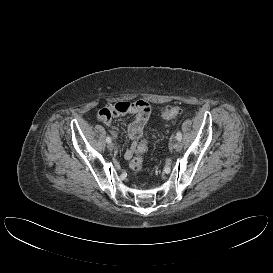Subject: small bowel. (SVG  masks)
<instances>
[{"label": "small bowel", "mask_w": 273, "mask_h": 273, "mask_svg": "<svg viewBox=\"0 0 273 273\" xmlns=\"http://www.w3.org/2000/svg\"><path fill=\"white\" fill-rule=\"evenodd\" d=\"M152 110V106L143 100L136 102H117L99 110L97 118L107 125H111L112 118L114 116L125 114L135 116L134 120L128 127V135L132 140V145L130 149L125 152V159L130 160L133 157L137 145V140L142 135L144 125ZM112 135L115 137L118 135V132L115 128H112Z\"/></svg>", "instance_id": "1"}]
</instances>
